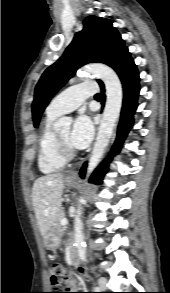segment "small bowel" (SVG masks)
<instances>
[{
	"instance_id": "small-bowel-1",
	"label": "small bowel",
	"mask_w": 170,
	"mask_h": 293,
	"mask_svg": "<svg viewBox=\"0 0 170 293\" xmlns=\"http://www.w3.org/2000/svg\"><path fill=\"white\" fill-rule=\"evenodd\" d=\"M80 274H81V275H84V272H83V271H80ZM70 283H71V285H72L73 287L75 286V282H74L73 280H71Z\"/></svg>"
}]
</instances>
